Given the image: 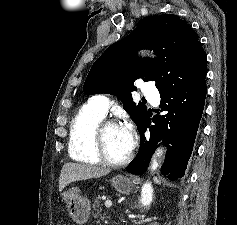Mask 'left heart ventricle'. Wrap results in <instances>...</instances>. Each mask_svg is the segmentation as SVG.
<instances>
[{"mask_svg":"<svg viewBox=\"0 0 237 225\" xmlns=\"http://www.w3.org/2000/svg\"><path fill=\"white\" fill-rule=\"evenodd\" d=\"M104 146L107 156L113 161H120L129 154L126 139L120 126L109 127L105 131Z\"/></svg>","mask_w":237,"mask_h":225,"instance_id":"1","label":"left heart ventricle"}]
</instances>
